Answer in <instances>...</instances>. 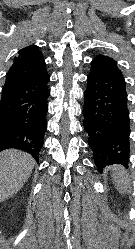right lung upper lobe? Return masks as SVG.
Returning <instances> with one entry per match:
<instances>
[{
    "label": "right lung upper lobe",
    "mask_w": 135,
    "mask_h": 249,
    "mask_svg": "<svg viewBox=\"0 0 135 249\" xmlns=\"http://www.w3.org/2000/svg\"><path fill=\"white\" fill-rule=\"evenodd\" d=\"M48 74L41 51L35 45L21 49L14 57L5 83L26 81Z\"/></svg>",
    "instance_id": "obj_1"
}]
</instances>
